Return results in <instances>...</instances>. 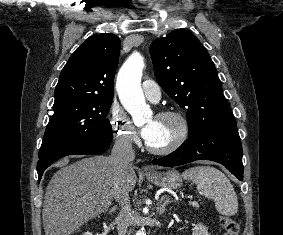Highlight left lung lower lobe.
I'll return each instance as SVG.
<instances>
[{"mask_svg": "<svg viewBox=\"0 0 283 235\" xmlns=\"http://www.w3.org/2000/svg\"><path fill=\"white\" fill-rule=\"evenodd\" d=\"M195 160L218 162L243 180L242 145L236 127L189 137L176 151L153 159L152 164L174 167Z\"/></svg>", "mask_w": 283, "mask_h": 235, "instance_id": "0a47b994", "label": "left lung lower lobe"}]
</instances>
